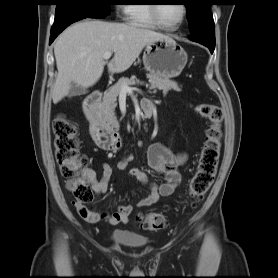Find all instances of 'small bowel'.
<instances>
[{
    "label": "small bowel",
    "mask_w": 278,
    "mask_h": 278,
    "mask_svg": "<svg viewBox=\"0 0 278 278\" xmlns=\"http://www.w3.org/2000/svg\"><path fill=\"white\" fill-rule=\"evenodd\" d=\"M145 101L151 105L148 100ZM147 157L151 168L162 174L165 181L162 184L149 183L146 174L140 168L132 167L129 170L130 175L149 188V194L137 202L138 207L150 206L156 203L161 197L172 195L181 183L179 168L187 160L185 154H174L161 143L152 144L148 149ZM112 173V167L107 162L102 164V176L99 180L96 179L92 171H89L92 189L96 196L107 193ZM74 206L79 215L86 221L96 223L102 219H106L112 225L127 223L129 215L133 210L132 205H122L113 213L107 214L90 210L85 205L76 202Z\"/></svg>",
    "instance_id": "1"
}]
</instances>
